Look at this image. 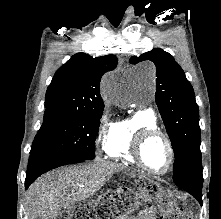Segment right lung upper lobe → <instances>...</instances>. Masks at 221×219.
Masks as SVG:
<instances>
[{
    "mask_svg": "<svg viewBox=\"0 0 221 219\" xmlns=\"http://www.w3.org/2000/svg\"><path fill=\"white\" fill-rule=\"evenodd\" d=\"M117 65L115 55L93 58L85 53L71 57L55 73L48 86L46 106H65L76 109L104 108L99 85L102 75Z\"/></svg>",
    "mask_w": 221,
    "mask_h": 219,
    "instance_id": "obj_1",
    "label": "right lung upper lobe"
}]
</instances>
